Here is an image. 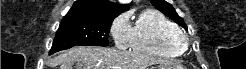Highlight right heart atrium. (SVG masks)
<instances>
[{
  "label": "right heart atrium",
  "instance_id": "obj_1",
  "mask_svg": "<svg viewBox=\"0 0 246 69\" xmlns=\"http://www.w3.org/2000/svg\"><path fill=\"white\" fill-rule=\"evenodd\" d=\"M110 34L116 47L129 45L130 26L127 15L117 17L110 26Z\"/></svg>",
  "mask_w": 246,
  "mask_h": 69
}]
</instances>
